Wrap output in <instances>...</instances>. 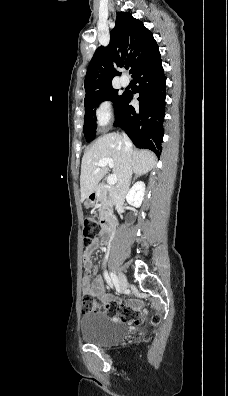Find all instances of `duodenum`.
<instances>
[{
    "mask_svg": "<svg viewBox=\"0 0 228 396\" xmlns=\"http://www.w3.org/2000/svg\"><path fill=\"white\" fill-rule=\"evenodd\" d=\"M93 197H96V194H92ZM118 226L117 219L114 216H107L102 219V229L105 234L113 233Z\"/></svg>",
    "mask_w": 228,
    "mask_h": 396,
    "instance_id": "obj_1",
    "label": "duodenum"
}]
</instances>
